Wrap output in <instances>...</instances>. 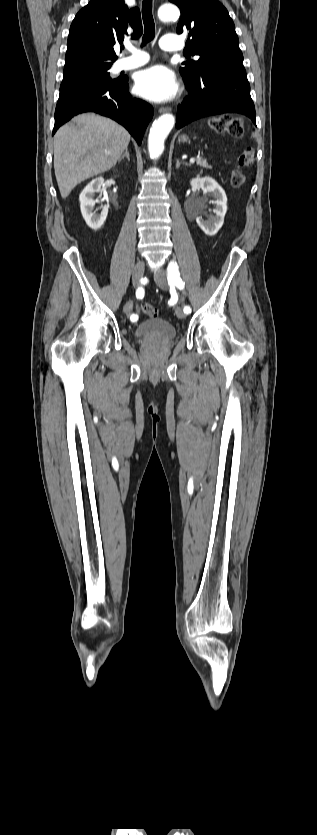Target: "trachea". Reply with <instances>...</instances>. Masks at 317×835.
Wrapping results in <instances>:
<instances>
[{
	"label": "trachea",
	"instance_id": "trachea-1",
	"mask_svg": "<svg viewBox=\"0 0 317 835\" xmlns=\"http://www.w3.org/2000/svg\"><path fill=\"white\" fill-rule=\"evenodd\" d=\"M142 18L144 23V35L142 45L152 41L155 37V23L152 15V0H143Z\"/></svg>",
	"mask_w": 317,
	"mask_h": 835
}]
</instances>
